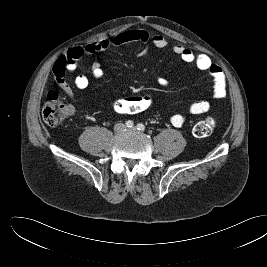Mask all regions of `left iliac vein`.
Masks as SVG:
<instances>
[{
    "instance_id": "4c4485c4",
    "label": "left iliac vein",
    "mask_w": 267,
    "mask_h": 267,
    "mask_svg": "<svg viewBox=\"0 0 267 267\" xmlns=\"http://www.w3.org/2000/svg\"><path fill=\"white\" fill-rule=\"evenodd\" d=\"M131 131H137V128L136 127H133L130 129Z\"/></svg>"
}]
</instances>
